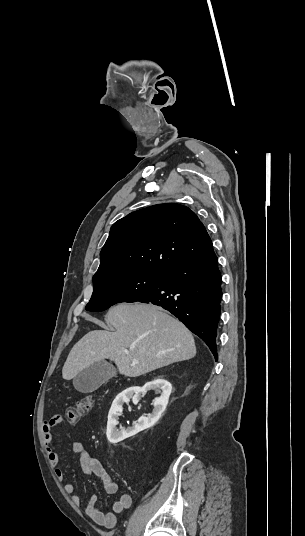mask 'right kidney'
<instances>
[{"mask_svg":"<svg viewBox=\"0 0 305 536\" xmlns=\"http://www.w3.org/2000/svg\"><path fill=\"white\" fill-rule=\"evenodd\" d=\"M147 390H155L156 394H160L159 398L153 400L152 406L154 410L152 414H150L148 418H140L138 424H135L134 428H127V430L120 428V430H118V416H121L124 402H130L131 398H134V394H136V398H138L139 392H147ZM171 390L172 386L170 382L163 380L162 376H159V378H155L153 382H147L143 388H128L125 392L118 394L111 406L108 416L106 434L109 442H111V444H118V442H122L125 438H130L133 434H137V432H141V430H147V428L154 426L166 410Z\"/></svg>","mask_w":305,"mask_h":536,"instance_id":"ca27d5eb","label":"right kidney"}]
</instances>
